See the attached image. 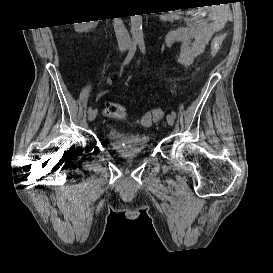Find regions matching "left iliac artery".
Here are the masks:
<instances>
[{
    "instance_id": "1",
    "label": "left iliac artery",
    "mask_w": 273,
    "mask_h": 273,
    "mask_svg": "<svg viewBox=\"0 0 273 273\" xmlns=\"http://www.w3.org/2000/svg\"><path fill=\"white\" fill-rule=\"evenodd\" d=\"M138 44H139V48H140L141 52H142L143 54H145L146 50H145V43H144V41H139ZM171 115H172L174 118H176V113H175L174 111L171 112Z\"/></svg>"
}]
</instances>
